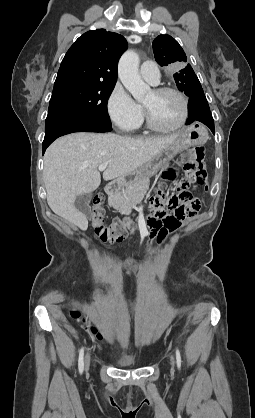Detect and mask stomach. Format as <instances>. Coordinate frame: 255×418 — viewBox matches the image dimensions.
I'll return each instance as SVG.
<instances>
[{
    "label": "stomach",
    "mask_w": 255,
    "mask_h": 418,
    "mask_svg": "<svg viewBox=\"0 0 255 418\" xmlns=\"http://www.w3.org/2000/svg\"><path fill=\"white\" fill-rule=\"evenodd\" d=\"M208 139V132L205 127L201 124L194 123L190 126L184 127L177 140L170 145L168 148L164 149L144 165L138 168L132 175L134 179L128 178L123 180L125 185L132 183L133 181L141 178H149L156 174L167 162H169L173 157L184 149L195 146L202 145Z\"/></svg>",
    "instance_id": "1"
}]
</instances>
